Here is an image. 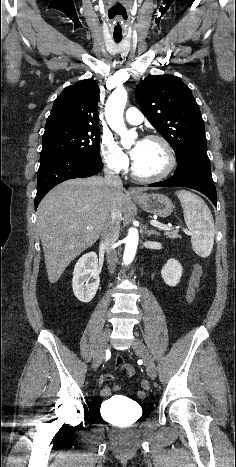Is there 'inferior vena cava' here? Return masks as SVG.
Wrapping results in <instances>:
<instances>
[{
	"label": "inferior vena cava",
	"mask_w": 236,
	"mask_h": 467,
	"mask_svg": "<svg viewBox=\"0 0 236 467\" xmlns=\"http://www.w3.org/2000/svg\"><path fill=\"white\" fill-rule=\"evenodd\" d=\"M105 182L109 186L114 187L115 189H120L123 187L122 180L113 170L110 168L104 169ZM120 232V218L115 208H113L110 216L105 221L102 231H101V245L106 250L107 263L109 265V270L111 273L114 272L115 264L117 261L116 251L113 249L116 241L119 238Z\"/></svg>",
	"instance_id": "1"
}]
</instances>
